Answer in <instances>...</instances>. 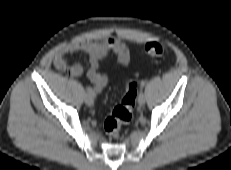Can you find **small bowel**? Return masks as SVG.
I'll use <instances>...</instances> for the list:
<instances>
[{"label":"small bowel","instance_id":"1","mask_svg":"<svg viewBox=\"0 0 231 170\" xmlns=\"http://www.w3.org/2000/svg\"><path fill=\"white\" fill-rule=\"evenodd\" d=\"M76 52H82L88 57L89 69L87 70V77L93 83L96 93L101 92L109 83V77L98 72L101 61L107 54L113 52L118 56V67H127L131 59L129 46L116 37H109L98 41L73 42L62 46L57 50L53 58L55 68L68 71L73 77L82 76L84 70L80 64L69 65L66 61L67 55Z\"/></svg>","mask_w":231,"mask_h":170}]
</instances>
